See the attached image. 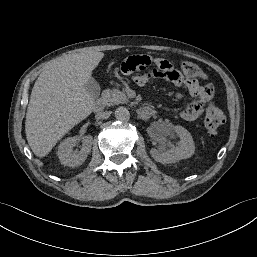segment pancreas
<instances>
[{"instance_id": "1", "label": "pancreas", "mask_w": 257, "mask_h": 257, "mask_svg": "<svg viewBox=\"0 0 257 257\" xmlns=\"http://www.w3.org/2000/svg\"><path fill=\"white\" fill-rule=\"evenodd\" d=\"M102 100L106 106L124 104L128 102V98L124 92L118 89H106L102 94Z\"/></svg>"}]
</instances>
